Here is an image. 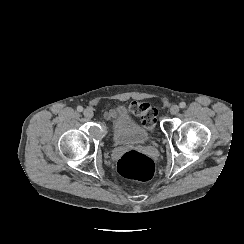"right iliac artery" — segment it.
<instances>
[{"label": "right iliac artery", "mask_w": 244, "mask_h": 244, "mask_svg": "<svg viewBox=\"0 0 244 244\" xmlns=\"http://www.w3.org/2000/svg\"><path fill=\"white\" fill-rule=\"evenodd\" d=\"M77 111H78V112H82V111H83V107H82V106H78V107H77Z\"/></svg>", "instance_id": "right-iliac-artery-1"}]
</instances>
